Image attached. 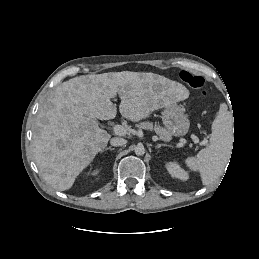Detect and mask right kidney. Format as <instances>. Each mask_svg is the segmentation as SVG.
Wrapping results in <instances>:
<instances>
[{
  "instance_id": "ca27d5eb",
  "label": "right kidney",
  "mask_w": 259,
  "mask_h": 259,
  "mask_svg": "<svg viewBox=\"0 0 259 259\" xmlns=\"http://www.w3.org/2000/svg\"><path fill=\"white\" fill-rule=\"evenodd\" d=\"M98 170H94L93 172H92V175H96V174H98Z\"/></svg>"
}]
</instances>
